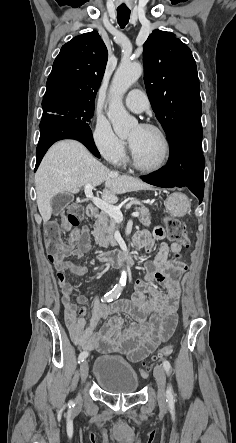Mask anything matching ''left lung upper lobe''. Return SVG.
Returning <instances> with one entry per match:
<instances>
[{
  "label": "left lung upper lobe",
  "mask_w": 236,
  "mask_h": 443,
  "mask_svg": "<svg viewBox=\"0 0 236 443\" xmlns=\"http://www.w3.org/2000/svg\"><path fill=\"white\" fill-rule=\"evenodd\" d=\"M143 48L147 94L171 140L181 128L201 124L196 62L190 48L171 32L154 30Z\"/></svg>",
  "instance_id": "obj_1"
}]
</instances>
